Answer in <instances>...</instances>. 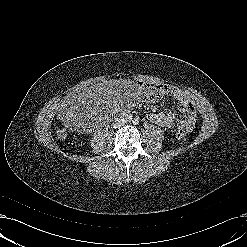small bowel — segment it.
Listing matches in <instances>:
<instances>
[{
  "mask_svg": "<svg viewBox=\"0 0 247 247\" xmlns=\"http://www.w3.org/2000/svg\"><path fill=\"white\" fill-rule=\"evenodd\" d=\"M151 85H155L158 88L160 94L159 97L163 95H169L177 102L178 110L180 113H182L183 119L176 120L171 113L161 111L149 113L147 116L148 120L167 129H184L186 132H191L194 129L196 123V112L192 101L175 86L160 83ZM158 98L149 101H155Z\"/></svg>",
  "mask_w": 247,
  "mask_h": 247,
  "instance_id": "small-bowel-1",
  "label": "small bowel"
}]
</instances>
